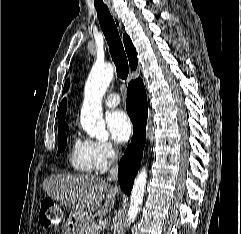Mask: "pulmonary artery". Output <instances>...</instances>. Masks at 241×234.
Listing matches in <instances>:
<instances>
[{"mask_svg":"<svg viewBox=\"0 0 241 234\" xmlns=\"http://www.w3.org/2000/svg\"><path fill=\"white\" fill-rule=\"evenodd\" d=\"M119 103H120V97L116 93L109 94L104 100V104L107 107H116Z\"/></svg>","mask_w":241,"mask_h":234,"instance_id":"obj_1","label":"pulmonary artery"}]
</instances>
